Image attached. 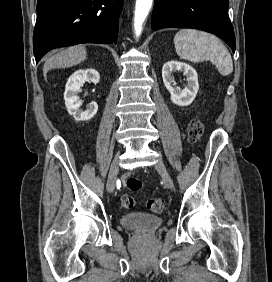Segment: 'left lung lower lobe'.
<instances>
[{
    "label": "left lung lower lobe",
    "instance_id": "1",
    "mask_svg": "<svg viewBox=\"0 0 272 282\" xmlns=\"http://www.w3.org/2000/svg\"><path fill=\"white\" fill-rule=\"evenodd\" d=\"M229 0H155L151 27L194 28L213 33L235 51V35L228 16Z\"/></svg>",
    "mask_w": 272,
    "mask_h": 282
}]
</instances>
